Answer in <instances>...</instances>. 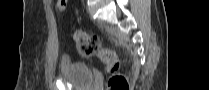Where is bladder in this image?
<instances>
[{"instance_id": "1", "label": "bladder", "mask_w": 209, "mask_h": 90, "mask_svg": "<svg viewBox=\"0 0 209 90\" xmlns=\"http://www.w3.org/2000/svg\"><path fill=\"white\" fill-rule=\"evenodd\" d=\"M60 78L74 87L88 90L93 86V75L90 67L84 63L73 62L67 56L59 60Z\"/></svg>"}]
</instances>
